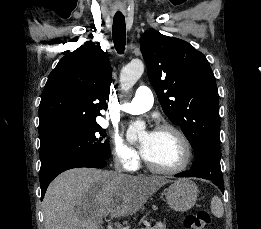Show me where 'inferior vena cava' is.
I'll return each mask as SVG.
<instances>
[{
    "label": "inferior vena cava",
    "mask_w": 261,
    "mask_h": 229,
    "mask_svg": "<svg viewBox=\"0 0 261 229\" xmlns=\"http://www.w3.org/2000/svg\"><path fill=\"white\" fill-rule=\"evenodd\" d=\"M114 169H115L116 173H122V163H121V161H115Z\"/></svg>",
    "instance_id": "inferior-vena-cava-1"
}]
</instances>
